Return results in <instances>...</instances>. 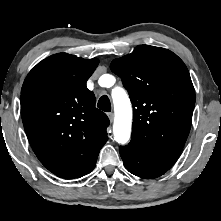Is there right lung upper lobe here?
I'll return each instance as SVG.
<instances>
[{
    "instance_id": "obj_1",
    "label": "right lung upper lobe",
    "mask_w": 221,
    "mask_h": 221,
    "mask_svg": "<svg viewBox=\"0 0 221 221\" xmlns=\"http://www.w3.org/2000/svg\"><path fill=\"white\" fill-rule=\"evenodd\" d=\"M99 60L54 54L27 75L21 90V116L40 162L62 178L80 177L108 140L109 119L95 107L86 81Z\"/></svg>"
}]
</instances>
